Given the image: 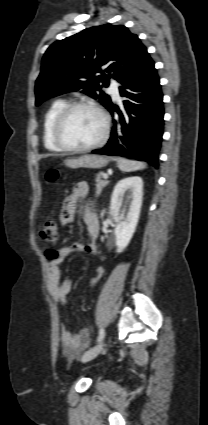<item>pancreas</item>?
Wrapping results in <instances>:
<instances>
[{"instance_id": "1", "label": "pancreas", "mask_w": 208, "mask_h": 425, "mask_svg": "<svg viewBox=\"0 0 208 425\" xmlns=\"http://www.w3.org/2000/svg\"><path fill=\"white\" fill-rule=\"evenodd\" d=\"M109 183V181H107V180H102L101 179V174H99L98 176H97V178H96V197H98L100 194H101V192H102V190H103V188L107 185Z\"/></svg>"}]
</instances>
